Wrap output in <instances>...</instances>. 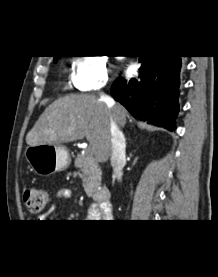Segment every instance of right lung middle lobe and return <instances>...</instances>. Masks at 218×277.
<instances>
[{"label":"right lung middle lobe","instance_id":"right-lung-middle-lobe-1","mask_svg":"<svg viewBox=\"0 0 218 277\" xmlns=\"http://www.w3.org/2000/svg\"><path fill=\"white\" fill-rule=\"evenodd\" d=\"M58 59H59V58L54 59V60H55V62H56Z\"/></svg>","mask_w":218,"mask_h":277}]
</instances>
